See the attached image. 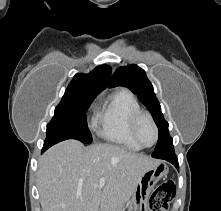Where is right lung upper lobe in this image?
I'll return each mask as SVG.
<instances>
[{"instance_id": "right-lung-upper-lobe-1", "label": "right lung upper lobe", "mask_w": 221, "mask_h": 211, "mask_svg": "<svg viewBox=\"0 0 221 211\" xmlns=\"http://www.w3.org/2000/svg\"><path fill=\"white\" fill-rule=\"evenodd\" d=\"M111 67L101 65L89 74L78 73L68 85L62 100L79 96H96L107 86H111Z\"/></svg>"}]
</instances>
